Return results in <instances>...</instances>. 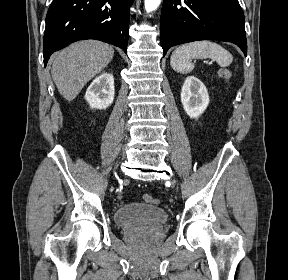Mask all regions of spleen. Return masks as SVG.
<instances>
[{"label":"spleen","mask_w":288,"mask_h":280,"mask_svg":"<svg viewBox=\"0 0 288 280\" xmlns=\"http://www.w3.org/2000/svg\"><path fill=\"white\" fill-rule=\"evenodd\" d=\"M211 58L221 67L229 66L232 54L221 45L211 41H195L177 47L170 58L172 69L178 73H189L194 69L191 59Z\"/></svg>","instance_id":"spleen-1"}]
</instances>
